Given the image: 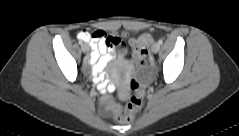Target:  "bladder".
I'll use <instances>...</instances> for the list:
<instances>
[{"label":"bladder","mask_w":239,"mask_h":136,"mask_svg":"<svg viewBox=\"0 0 239 136\" xmlns=\"http://www.w3.org/2000/svg\"><path fill=\"white\" fill-rule=\"evenodd\" d=\"M122 53H123V54H126V53H127V49H124V50L122 51Z\"/></svg>","instance_id":"31cf9c89"}]
</instances>
